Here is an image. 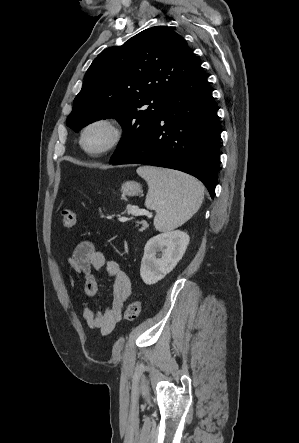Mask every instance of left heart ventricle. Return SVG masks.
<instances>
[{
	"label": "left heart ventricle",
	"mask_w": 299,
	"mask_h": 443,
	"mask_svg": "<svg viewBox=\"0 0 299 443\" xmlns=\"http://www.w3.org/2000/svg\"><path fill=\"white\" fill-rule=\"evenodd\" d=\"M111 139V131L106 126H96L89 130L85 144L89 149L98 150L103 148Z\"/></svg>",
	"instance_id": "1"
}]
</instances>
